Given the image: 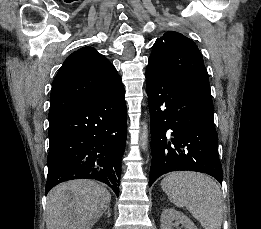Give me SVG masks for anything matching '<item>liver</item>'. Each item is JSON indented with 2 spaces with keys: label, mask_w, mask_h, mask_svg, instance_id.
<instances>
[{
  "label": "liver",
  "mask_w": 261,
  "mask_h": 229,
  "mask_svg": "<svg viewBox=\"0 0 261 229\" xmlns=\"http://www.w3.org/2000/svg\"><path fill=\"white\" fill-rule=\"evenodd\" d=\"M110 201L109 191L97 181L76 179L60 183L47 195L46 229H92Z\"/></svg>",
  "instance_id": "obj_1"
}]
</instances>
